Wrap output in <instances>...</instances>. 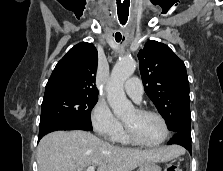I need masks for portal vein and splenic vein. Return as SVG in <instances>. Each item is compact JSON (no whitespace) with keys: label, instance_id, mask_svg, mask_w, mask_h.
Wrapping results in <instances>:
<instances>
[{"label":"portal vein and splenic vein","instance_id":"1","mask_svg":"<svg viewBox=\"0 0 223 171\" xmlns=\"http://www.w3.org/2000/svg\"><path fill=\"white\" fill-rule=\"evenodd\" d=\"M86 171H95V166H89Z\"/></svg>","mask_w":223,"mask_h":171}]
</instances>
